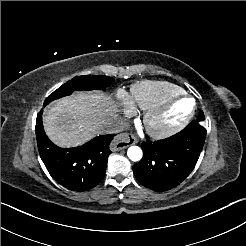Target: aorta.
<instances>
[{
    "label": "aorta",
    "instance_id": "aorta-1",
    "mask_svg": "<svg viewBox=\"0 0 246 246\" xmlns=\"http://www.w3.org/2000/svg\"><path fill=\"white\" fill-rule=\"evenodd\" d=\"M127 156L129 157V159L131 161L136 162V161H140L142 159L143 152H142L140 147L131 146L128 148Z\"/></svg>",
    "mask_w": 246,
    "mask_h": 246
}]
</instances>
